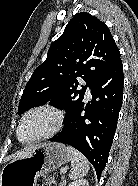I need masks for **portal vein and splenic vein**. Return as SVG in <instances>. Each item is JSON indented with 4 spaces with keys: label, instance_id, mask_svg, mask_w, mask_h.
I'll return each instance as SVG.
<instances>
[{
    "label": "portal vein and splenic vein",
    "instance_id": "1",
    "mask_svg": "<svg viewBox=\"0 0 138 186\" xmlns=\"http://www.w3.org/2000/svg\"><path fill=\"white\" fill-rule=\"evenodd\" d=\"M61 173L62 174L66 173V169H61Z\"/></svg>",
    "mask_w": 138,
    "mask_h": 186
}]
</instances>
